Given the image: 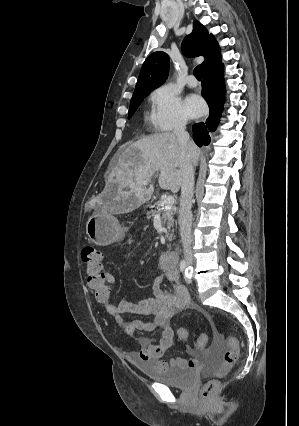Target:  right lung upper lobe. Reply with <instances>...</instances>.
<instances>
[{
	"mask_svg": "<svg viewBox=\"0 0 299 426\" xmlns=\"http://www.w3.org/2000/svg\"><path fill=\"white\" fill-rule=\"evenodd\" d=\"M182 49L186 56L205 57L202 63L206 71L221 62L220 48L206 28L199 22L194 21L193 31L185 37ZM169 57L163 51L152 53L143 63L134 93L141 91H152L162 85L168 77Z\"/></svg>",
	"mask_w": 299,
	"mask_h": 426,
	"instance_id": "right-lung-upper-lobe-1",
	"label": "right lung upper lobe"
}]
</instances>
